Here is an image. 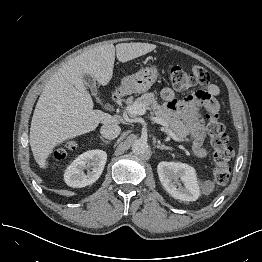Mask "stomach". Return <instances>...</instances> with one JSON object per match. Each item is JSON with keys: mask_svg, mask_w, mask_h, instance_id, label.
<instances>
[{"mask_svg": "<svg viewBox=\"0 0 262 262\" xmlns=\"http://www.w3.org/2000/svg\"><path fill=\"white\" fill-rule=\"evenodd\" d=\"M158 75L156 67L141 69L135 74L124 77L119 91L125 94L146 92L156 82Z\"/></svg>", "mask_w": 262, "mask_h": 262, "instance_id": "obj_1", "label": "stomach"}]
</instances>
